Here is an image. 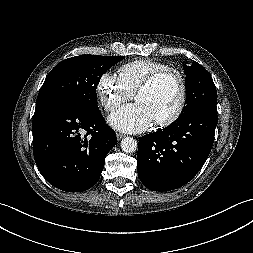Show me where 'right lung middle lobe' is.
Returning a JSON list of instances; mask_svg holds the SVG:
<instances>
[{
  "instance_id": "dd1d6c3e",
  "label": "right lung middle lobe",
  "mask_w": 253,
  "mask_h": 253,
  "mask_svg": "<svg viewBox=\"0 0 253 253\" xmlns=\"http://www.w3.org/2000/svg\"><path fill=\"white\" fill-rule=\"evenodd\" d=\"M124 57L81 55L63 60L46 77L36 106L64 103L80 110H97L96 88L101 76Z\"/></svg>"
}]
</instances>
